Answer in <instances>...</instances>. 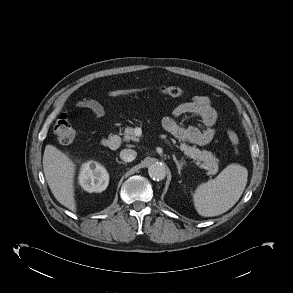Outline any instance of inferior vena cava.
I'll return each mask as SVG.
<instances>
[{"instance_id": "602c4592", "label": "inferior vena cava", "mask_w": 293, "mask_h": 293, "mask_svg": "<svg viewBox=\"0 0 293 293\" xmlns=\"http://www.w3.org/2000/svg\"><path fill=\"white\" fill-rule=\"evenodd\" d=\"M137 156V152L132 149H124L120 152V158L125 162L133 161Z\"/></svg>"}]
</instances>
